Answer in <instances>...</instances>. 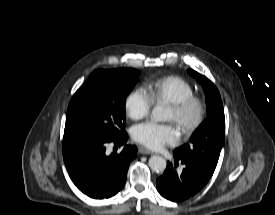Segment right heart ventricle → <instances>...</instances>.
<instances>
[{
    "instance_id": "e07e8e85",
    "label": "right heart ventricle",
    "mask_w": 275,
    "mask_h": 215,
    "mask_svg": "<svg viewBox=\"0 0 275 215\" xmlns=\"http://www.w3.org/2000/svg\"><path fill=\"white\" fill-rule=\"evenodd\" d=\"M147 93L155 103L171 104L194 95V89L185 79L169 75L147 84Z\"/></svg>"
}]
</instances>
